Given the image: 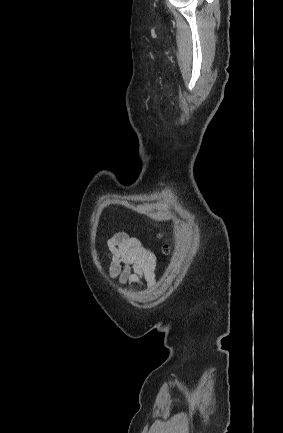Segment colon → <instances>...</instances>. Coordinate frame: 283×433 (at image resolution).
<instances>
[{"label": "colon", "mask_w": 283, "mask_h": 433, "mask_svg": "<svg viewBox=\"0 0 283 433\" xmlns=\"http://www.w3.org/2000/svg\"><path fill=\"white\" fill-rule=\"evenodd\" d=\"M163 251H164L165 253H167V252L169 251V246H168L167 244H165V245L163 246Z\"/></svg>", "instance_id": "colon-1"}]
</instances>
